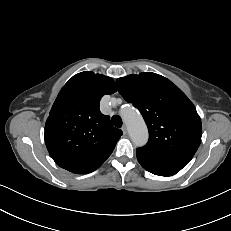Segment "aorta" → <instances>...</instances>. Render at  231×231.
Here are the masks:
<instances>
[{
	"mask_svg": "<svg viewBox=\"0 0 231 231\" xmlns=\"http://www.w3.org/2000/svg\"><path fill=\"white\" fill-rule=\"evenodd\" d=\"M121 115L128 127L129 136L137 146H143L148 141V129L142 116L133 108L125 107Z\"/></svg>",
	"mask_w": 231,
	"mask_h": 231,
	"instance_id": "762f6f07",
	"label": "aorta"
}]
</instances>
